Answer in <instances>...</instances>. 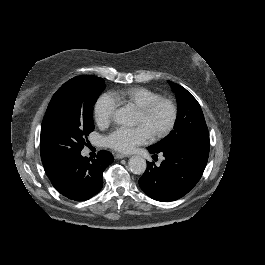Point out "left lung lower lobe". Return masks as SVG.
I'll use <instances>...</instances> for the list:
<instances>
[{"label": "left lung lower lobe", "instance_id": "1", "mask_svg": "<svg viewBox=\"0 0 265 265\" xmlns=\"http://www.w3.org/2000/svg\"><path fill=\"white\" fill-rule=\"evenodd\" d=\"M148 150L152 154L159 153ZM160 152L165 160L160 166L147 162L139 185L154 200L174 201L187 194L201 178L208 160L209 143L191 141Z\"/></svg>", "mask_w": 265, "mask_h": 265}]
</instances>
